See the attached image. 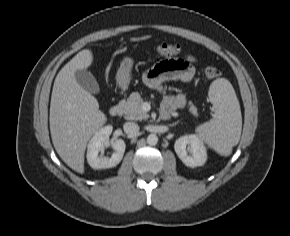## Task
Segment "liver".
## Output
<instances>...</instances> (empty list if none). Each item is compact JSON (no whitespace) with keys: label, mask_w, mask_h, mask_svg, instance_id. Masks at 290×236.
Returning <instances> with one entry per match:
<instances>
[{"label":"liver","mask_w":290,"mask_h":236,"mask_svg":"<svg viewBox=\"0 0 290 236\" xmlns=\"http://www.w3.org/2000/svg\"><path fill=\"white\" fill-rule=\"evenodd\" d=\"M93 62L91 50L76 54L57 74L50 103V133L60 158L74 171L84 173L89 139L106 123L97 99L76 81L75 72Z\"/></svg>","instance_id":"liver-1"}]
</instances>
